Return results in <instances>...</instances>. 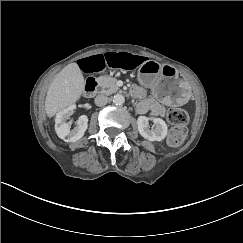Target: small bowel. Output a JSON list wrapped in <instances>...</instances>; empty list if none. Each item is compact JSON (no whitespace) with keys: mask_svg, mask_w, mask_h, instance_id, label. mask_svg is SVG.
I'll return each mask as SVG.
<instances>
[{"mask_svg":"<svg viewBox=\"0 0 243 243\" xmlns=\"http://www.w3.org/2000/svg\"><path fill=\"white\" fill-rule=\"evenodd\" d=\"M145 61L144 56L130 52H105L83 58L80 60L79 65L83 71L93 73L103 71L106 68L132 70ZM134 93L137 96L143 95V91L140 88H135ZM137 109L140 113L150 111L153 115L164 114V107L153 99L142 101Z\"/></svg>","mask_w":243,"mask_h":243,"instance_id":"1","label":"small bowel"}]
</instances>
